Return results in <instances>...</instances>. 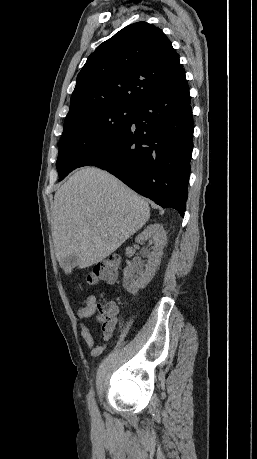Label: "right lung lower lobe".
I'll return each mask as SVG.
<instances>
[{"mask_svg":"<svg viewBox=\"0 0 257 459\" xmlns=\"http://www.w3.org/2000/svg\"><path fill=\"white\" fill-rule=\"evenodd\" d=\"M193 139V117L185 74L141 101L126 130L79 167L107 170L139 194L182 217Z\"/></svg>","mask_w":257,"mask_h":459,"instance_id":"98d812e1","label":"right lung lower lobe"}]
</instances>
